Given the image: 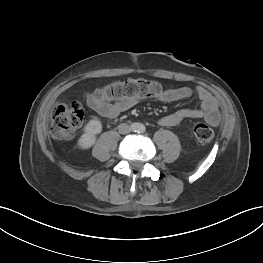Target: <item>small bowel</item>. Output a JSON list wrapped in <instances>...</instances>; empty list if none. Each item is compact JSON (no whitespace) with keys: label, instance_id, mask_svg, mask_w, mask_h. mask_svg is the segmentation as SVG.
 Here are the masks:
<instances>
[{"label":"small bowel","instance_id":"small-bowel-1","mask_svg":"<svg viewBox=\"0 0 263 263\" xmlns=\"http://www.w3.org/2000/svg\"><path fill=\"white\" fill-rule=\"evenodd\" d=\"M193 94H196L198 97L200 108L178 110L172 114L161 117L158 120V124L163 127H172L178 125L185 119H204L210 125L217 126L220 121L217 102L213 95L202 86H198L195 89L186 86L168 89L165 90L158 99L164 102H173L189 98ZM86 99L89 106L95 112L108 119L116 118L136 103L135 99L118 100L112 103L107 98L98 94V92L88 94Z\"/></svg>","mask_w":263,"mask_h":263}]
</instances>
